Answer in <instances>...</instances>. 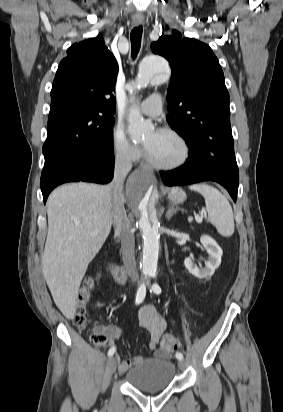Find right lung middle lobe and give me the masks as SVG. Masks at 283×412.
<instances>
[{
	"instance_id": "dd1d6c3e",
	"label": "right lung middle lobe",
	"mask_w": 283,
	"mask_h": 412,
	"mask_svg": "<svg viewBox=\"0 0 283 412\" xmlns=\"http://www.w3.org/2000/svg\"><path fill=\"white\" fill-rule=\"evenodd\" d=\"M113 125V116L94 109H68L49 115L44 157L62 151L112 154Z\"/></svg>"
}]
</instances>
